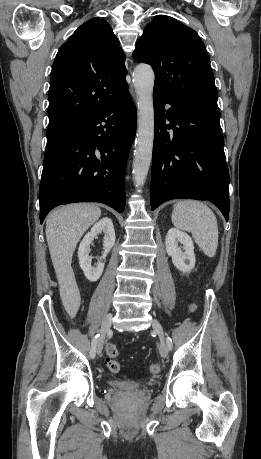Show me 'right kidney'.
<instances>
[{
  "label": "right kidney",
  "instance_id": "obj_1",
  "mask_svg": "<svg viewBox=\"0 0 261 459\" xmlns=\"http://www.w3.org/2000/svg\"><path fill=\"white\" fill-rule=\"evenodd\" d=\"M104 232V241H103V254L98 260L96 267L91 265L92 257L89 255L90 244L94 238ZM115 231L113 222L110 218L105 217L97 222L88 232L83 240L80 243L78 249V258L81 269L84 272L85 277L91 281H97L103 273L105 267V259L108 252L112 249L115 244Z\"/></svg>",
  "mask_w": 261,
  "mask_h": 459
}]
</instances>
